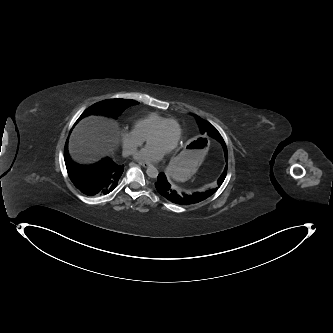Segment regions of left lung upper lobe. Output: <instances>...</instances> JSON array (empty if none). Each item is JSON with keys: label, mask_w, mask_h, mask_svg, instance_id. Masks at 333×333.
I'll list each match as a JSON object with an SVG mask.
<instances>
[{"label": "left lung upper lobe", "mask_w": 333, "mask_h": 333, "mask_svg": "<svg viewBox=\"0 0 333 333\" xmlns=\"http://www.w3.org/2000/svg\"><path fill=\"white\" fill-rule=\"evenodd\" d=\"M195 118L198 121V125H199L200 131H201L202 134L209 135L210 137L215 138L218 141L223 140V138L221 137L219 132L216 130V128L214 126H212L209 122L201 119L197 115H195ZM223 148H224V152H225V158H226V161H227V159H228L227 149L225 147H223ZM226 171H227V165H226V168H225L224 172L222 173V175L220 176V178L218 180V185L219 186L223 183V181L225 179Z\"/></svg>", "instance_id": "obj_1"}]
</instances>
